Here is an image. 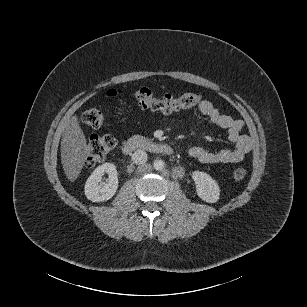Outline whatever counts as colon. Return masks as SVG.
Listing matches in <instances>:
<instances>
[{
  "label": "colon",
  "instance_id": "colon-1",
  "mask_svg": "<svg viewBox=\"0 0 307 307\" xmlns=\"http://www.w3.org/2000/svg\"><path fill=\"white\" fill-rule=\"evenodd\" d=\"M120 90L112 89L107 92L108 97H116ZM136 104L143 110H151L164 114L191 108L202 101V97L196 92H186L179 97L166 94L162 97H154L148 88L138 89L134 93ZM82 123L88 128H98L104 121V112L100 109H89L81 118ZM116 140L112 135H101L90 138L88 142L86 164L94 166L102 162L115 147ZM246 176V170L242 166L233 169L235 180H242Z\"/></svg>",
  "mask_w": 307,
  "mask_h": 307
}]
</instances>
